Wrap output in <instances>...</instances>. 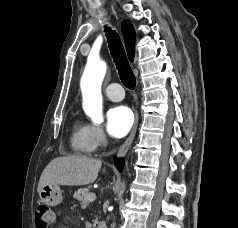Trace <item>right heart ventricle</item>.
Wrapping results in <instances>:
<instances>
[{
  "instance_id": "e07e8e85",
  "label": "right heart ventricle",
  "mask_w": 238,
  "mask_h": 228,
  "mask_svg": "<svg viewBox=\"0 0 238 228\" xmlns=\"http://www.w3.org/2000/svg\"><path fill=\"white\" fill-rule=\"evenodd\" d=\"M71 147L78 154H90L94 150L87 126L79 119L73 121Z\"/></svg>"
}]
</instances>
